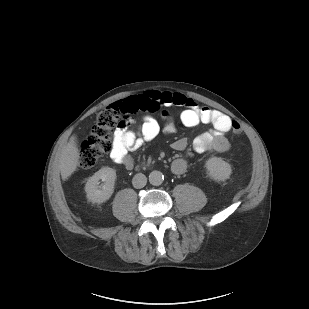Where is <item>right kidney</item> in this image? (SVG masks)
<instances>
[{
  "label": "right kidney",
  "instance_id": "obj_1",
  "mask_svg": "<svg viewBox=\"0 0 309 309\" xmlns=\"http://www.w3.org/2000/svg\"><path fill=\"white\" fill-rule=\"evenodd\" d=\"M104 182L103 186H98V181ZM116 172L109 167H103L87 180L85 191L87 199L93 203H103L107 201L114 192ZM100 188V189H99Z\"/></svg>",
  "mask_w": 309,
  "mask_h": 309
}]
</instances>
